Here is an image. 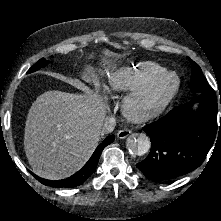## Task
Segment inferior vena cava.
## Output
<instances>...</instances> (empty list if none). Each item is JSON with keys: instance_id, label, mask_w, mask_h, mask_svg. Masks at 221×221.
Here are the masks:
<instances>
[{"instance_id": "1", "label": "inferior vena cava", "mask_w": 221, "mask_h": 221, "mask_svg": "<svg viewBox=\"0 0 221 221\" xmlns=\"http://www.w3.org/2000/svg\"><path fill=\"white\" fill-rule=\"evenodd\" d=\"M116 126L115 118L113 117H106L104 119V124L102 127V133H110L114 130Z\"/></svg>"}]
</instances>
